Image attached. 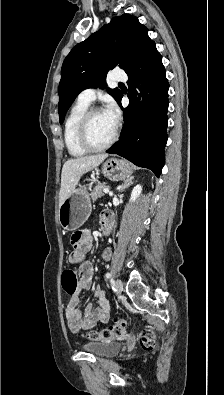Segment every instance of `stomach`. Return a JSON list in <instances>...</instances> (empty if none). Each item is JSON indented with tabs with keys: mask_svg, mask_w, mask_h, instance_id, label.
I'll use <instances>...</instances> for the list:
<instances>
[{
	"mask_svg": "<svg viewBox=\"0 0 224 395\" xmlns=\"http://www.w3.org/2000/svg\"><path fill=\"white\" fill-rule=\"evenodd\" d=\"M102 173L111 181H120L132 174L129 163L122 159L110 158L102 165ZM91 213V201L87 188L75 189L59 206L58 220L65 230L80 228Z\"/></svg>",
	"mask_w": 224,
	"mask_h": 395,
	"instance_id": "obj_1",
	"label": "stomach"
}]
</instances>
